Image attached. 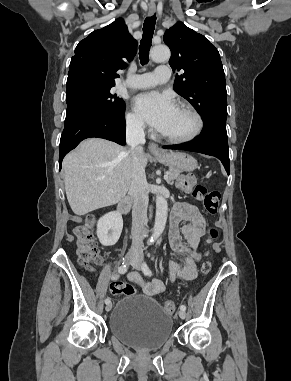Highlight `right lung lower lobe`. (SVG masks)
Returning a JSON list of instances; mask_svg holds the SVG:
<instances>
[{
    "label": "right lung lower lobe",
    "mask_w": 291,
    "mask_h": 381,
    "mask_svg": "<svg viewBox=\"0 0 291 381\" xmlns=\"http://www.w3.org/2000/svg\"><path fill=\"white\" fill-rule=\"evenodd\" d=\"M66 101V119L59 145V170L64 156L86 138L98 137L125 144L124 112L102 114L92 103L80 97Z\"/></svg>",
    "instance_id": "right-lung-lower-lobe-1"
}]
</instances>
